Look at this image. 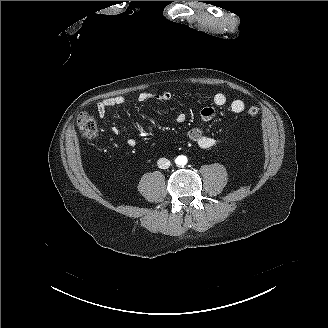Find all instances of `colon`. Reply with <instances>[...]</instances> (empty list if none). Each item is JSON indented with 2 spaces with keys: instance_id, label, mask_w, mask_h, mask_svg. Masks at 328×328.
I'll return each mask as SVG.
<instances>
[{
  "instance_id": "obj_1",
  "label": "colon",
  "mask_w": 328,
  "mask_h": 328,
  "mask_svg": "<svg viewBox=\"0 0 328 328\" xmlns=\"http://www.w3.org/2000/svg\"><path fill=\"white\" fill-rule=\"evenodd\" d=\"M259 113V108L256 106H251L247 109V114L251 117L257 116ZM77 124L81 134L88 138H94L97 134V124L95 119L88 113L83 112L79 115L77 119Z\"/></svg>"
}]
</instances>
